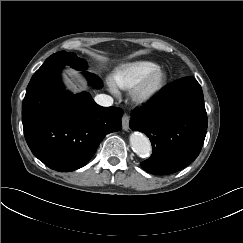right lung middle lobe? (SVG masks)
I'll return each mask as SVG.
<instances>
[{
    "label": "right lung middle lobe",
    "mask_w": 243,
    "mask_h": 243,
    "mask_svg": "<svg viewBox=\"0 0 243 243\" xmlns=\"http://www.w3.org/2000/svg\"><path fill=\"white\" fill-rule=\"evenodd\" d=\"M65 65H69L77 70H84L87 67L85 60L77 57L74 53L65 51H60L51 55L49 58L46 59L41 67L45 69H50L57 66L63 67Z\"/></svg>",
    "instance_id": "1"
}]
</instances>
